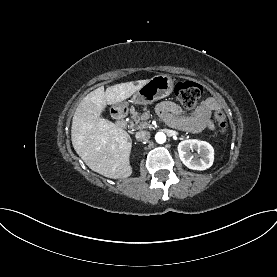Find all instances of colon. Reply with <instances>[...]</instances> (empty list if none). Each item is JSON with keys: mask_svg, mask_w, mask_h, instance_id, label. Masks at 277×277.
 <instances>
[{"mask_svg": "<svg viewBox=\"0 0 277 277\" xmlns=\"http://www.w3.org/2000/svg\"><path fill=\"white\" fill-rule=\"evenodd\" d=\"M174 94L181 104L191 108L201 98L203 88L200 84L193 81H181L175 85ZM215 119L218 122L220 130L225 132L227 123L224 113L220 110L216 111Z\"/></svg>", "mask_w": 277, "mask_h": 277, "instance_id": "colon-1", "label": "colon"}]
</instances>
